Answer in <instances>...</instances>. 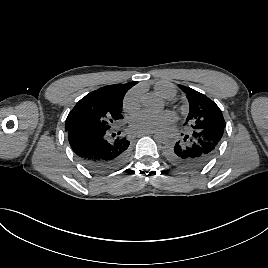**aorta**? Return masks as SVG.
Returning <instances> with one entry per match:
<instances>
[{
  "label": "aorta",
  "mask_w": 268,
  "mask_h": 268,
  "mask_svg": "<svg viewBox=\"0 0 268 268\" xmlns=\"http://www.w3.org/2000/svg\"><path fill=\"white\" fill-rule=\"evenodd\" d=\"M146 104L151 110H157L161 106L158 100L151 96L147 97ZM153 138L158 143L164 142L166 140V133L164 131L158 130L154 133Z\"/></svg>",
  "instance_id": "1"
}]
</instances>
